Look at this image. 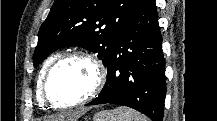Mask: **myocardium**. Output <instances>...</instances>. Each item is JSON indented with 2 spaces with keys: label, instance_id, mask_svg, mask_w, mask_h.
Returning <instances> with one entry per match:
<instances>
[{
  "label": "myocardium",
  "instance_id": "obj_1",
  "mask_svg": "<svg viewBox=\"0 0 217 121\" xmlns=\"http://www.w3.org/2000/svg\"><path fill=\"white\" fill-rule=\"evenodd\" d=\"M77 58H82L87 60L92 64V66L95 69V74H96V79L94 82V85L91 89V91L82 99L79 101L69 104V105H59L57 104L51 97L50 92H49V87H50V82L53 77L54 72L57 70V68L62 65L63 63L72 60V59H77ZM106 79V69L102 63V61L95 56L94 54L83 51V50H77L73 51L67 54H63L59 56L49 67L47 70L43 84H42V94L43 97L46 101V103L55 110H69L71 108L79 107L84 104H87L90 102L103 88L104 83Z\"/></svg>",
  "mask_w": 217,
  "mask_h": 121
}]
</instances>
